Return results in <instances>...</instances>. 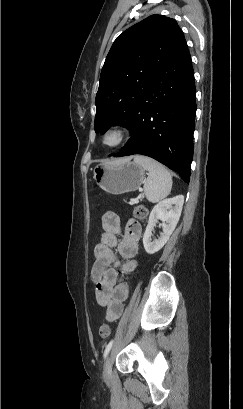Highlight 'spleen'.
I'll return each mask as SVG.
<instances>
[{
    "label": "spleen",
    "instance_id": "1",
    "mask_svg": "<svg viewBox=\"0 0 243 409\" xmlns=\"http://www.w3.org/2000/svg\"><path fill=\"white\" fill-rule=\"evenodd\" d=\"M134 162L148 171L144 183V193L148 201L156 203L170 194L172 176L162 164L141 155L134 156Z\"/></svg>",
    "mask_w": 243,
    "mask_h": 409
}]
</instances>
